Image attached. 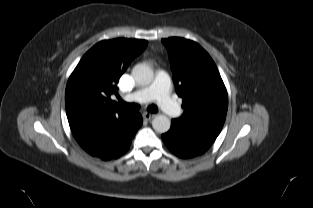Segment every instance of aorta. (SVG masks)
I'll return each instance as SVG.
<instances>
[{
	"mask_svg": "<svg viewBox=\"0 0 313 208\" xmlns=\"http://www.w3.org/2000/svg\"><path fill=\"white\" fill-rule=\"evenodd\" d=\"M132 75L135 81L140 85H149L154 79V72L152 68L145 64L140 63L133 67ZM171 121L166 115H156L152 120V127L158 133H165L170 129Z\"/></svg>",
	"mask_w": 313,
	"mask_h": 208,
	"instance_id": "1",
	"label": "aorta"
}]
</instances>
